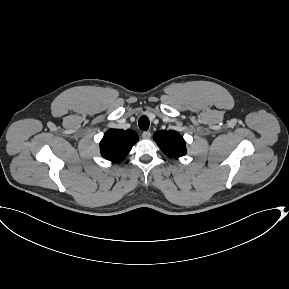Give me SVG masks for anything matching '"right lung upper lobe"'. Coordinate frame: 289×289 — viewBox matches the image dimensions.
Returning a JSON list of instances; mask_svg holds the SVG:
<instances>
[{
	"mask_svg": "<svg viewBox=\"0 0 289 289\" xmlns=\"http://www.w3.org/2000/svg\"><path fill=\"white\" fill-rule=\"evenodd\" d=\"M139 140L136 132L132 130L110 129L100 142V150L103 158L120 162Z\"/></svg>",
	"mask_w": 289,
	"mask_h": 289,
	"instance_id": "right-lung-upper-lobe-1",
	"label": "right lung upper lobe"
}]
</instances>
